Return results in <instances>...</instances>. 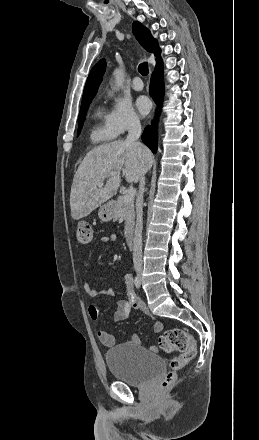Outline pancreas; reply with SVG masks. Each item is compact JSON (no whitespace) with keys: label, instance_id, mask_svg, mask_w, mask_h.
<instances>
[{"label":"pancreas","instance_id":"obj_1","mask_svg":"<svg viewBox=\"0 0 259 440\" xmlns=\"http://www.w3.org/2000/svg\"><path fill=\"white\" fill-rule=\"evenodd\" d=\"M114 218H124L125 228L124 234H128L132 231L135 219L134 201L124 202V196L118 197L115 203Z\"/></svg>","mask_w":259,"mask_h":440}]
</instances>
